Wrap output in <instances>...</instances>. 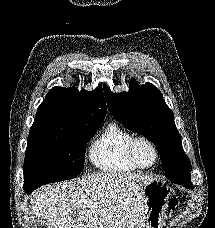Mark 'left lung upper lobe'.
<instances>
[{"mask_svg": "<svg viewBox=\"0 0 215 228\" xmlns=\"http://www.w3.org/2000/svg\"><path fill=\"white\" fill-rule=\"evenodd\" d=\"M131 81L128 92L112 93L104 86L108 109L113 117L153 142L160 154L165 177L170 180L190 179L192 167L183 151L173 112L161 92L152 84L135 86Z\"/></svg>", "mask_w": 215, "mask_h": 228, "instance_id": "5c2ea615", "label": "left lung upper lobe"}]
</instances>
